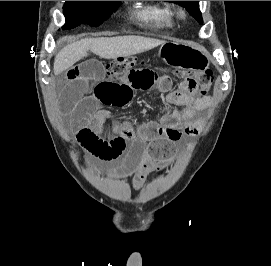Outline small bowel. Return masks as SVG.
<instances>
[{
  "label": "small bowel",
  "instance_id": "obj_1",
  "mask_svg": "<svg viewBox=\"0 0 271 266\" xmlns=\"http://www.w3.org/2000/svg\"><path fill=\"white\" fill-rule=\"evenodd\" d=\"M59 70L63 77L58 104L69 118L77 141L103 161L119 159L132 141L133 147L119 165V171L123 176H131L137 189L150 174L166 167L174 144L183 135L198 133L201 120L195 119V115L211 101L209 96L195 97L181 87L170 90V78L147 63L137 64L115 78L108 77L96 60L68 67L61 65ZM150 89L168 92V109L163 119L137 126L128 121L108 123L109 113L100 109L101 106L123 107L130 102L134 91Z\"/></svg>",
  "mask_w": 271,
  "mask_h": 266
}]
</instances>
